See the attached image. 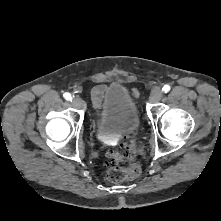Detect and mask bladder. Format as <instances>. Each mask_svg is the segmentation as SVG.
<instances>
[{
    "label": "bladder",
    "mask_w": 221,
    "mask_h": 221,
    "mask_svg": "<svg viewBox=\"0 0 221 221\" xmlns=\"http://www.w3.org/2000/svg\"><path fill=\"white\" fill-rule=\"evenodd\" d=\"M141 124L135 99L120 83L110 84L104 94L95 133L99 139L136 131Z\"/></svg>",
    "instance_id": "bladder-1"
}]
</instances>
